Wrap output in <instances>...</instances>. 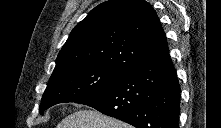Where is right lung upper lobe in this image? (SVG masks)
Here are the masks:
<instances>
[{
    "label": "right lung upper lobe",
    "mask_w": 221,
    "mask_h": 128,
    "mask_svg": "<svg viewBox=\"0 0 221 128\" xmlns=\"http://www.w3.org/2000/svg\"><path fill=\"white\" fill-rule=\"evenodd\" d=\"M169 51L160 20L143 0H109L71 31L54 71L96 65L127 72Z\"/></svg>",
    "instance_id": "cb5924a9"
}]
</instances>
